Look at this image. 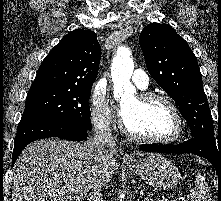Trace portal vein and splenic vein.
I'll return each mask as SVG.
<instances>
[{
  "label": "portal vein and splenic vein",
  "mask_w": 221,
  "mask_h": 201,
  "mask_svg": "<svg viewBox=\"0 0 221 201\" xmlns=\"http://www.w3.org/2000/svg\"><path fill=\"white\" fill-rule=\"evenodd\" d=\"M144 201H153V200H151L149 198H144ZM165 201H168V200H165Z\"/></svg>",
  "instance_id": "portal-vein-and-splenic-vein-1"
}]
</instances>
